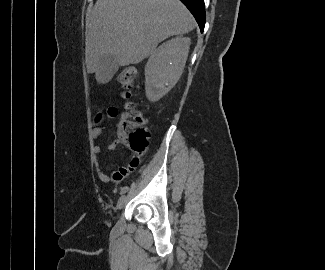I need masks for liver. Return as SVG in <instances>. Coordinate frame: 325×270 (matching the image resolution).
I'll use <instances>...</instances> for the list:
<instances>
[{
  "label": "liver",
  "mask_w": 325,
  "mask_h": 270,
  "mask_svg": "<svg viewBox=\"0 0 325 270\" xmlns=\"http://www.w3.org/2000/svg\"><path fill=\"white\" fill-rule=\"evenodd\" d=\"M196 22L179 0H97L86 16V65L98 83L101 59L112 55L118 66L138 64L165 39L183 35Z\"/></svg>",
  "instance_id": "1"
}]
</instances>
